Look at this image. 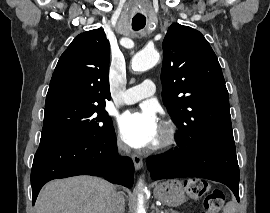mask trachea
Wrapping results in <instances>:
<instances>
[{
	"instance_id": "trachea-1",
	"label": "trachea",
	"mask_w": 270,
	"mask_h": 213,
	"mask_svg": "<svg viewBox=\"0 0 270 213\" xmlns=\"http://www.w3.org/2000/svg\"><path fill=\"white\" fill-rule=\"evenodd\" d=\"M145 24H146L145 18H137V19L133 18L132 20V28L134 30H140L144 28Z\"/></svg>"
}]
</instances>
